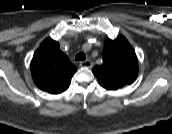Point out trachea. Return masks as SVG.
<instances>
[{
    "mask_svg": "<svg viewBox=\"0 0 172 134\" xmlns=\"http://www.w3.org/2000/svg\"><path fill=\"white\" fill-rule=\"evenodd\" d=\"M86 58V55L83 53V52H80L78 53L76 56H75V60H82L84 61Z\"/></svg>",
    "mask_w": 172,
    "mask_h": 134,
    "instance_id": "3493384b",
    "label": "trachea"
}]
</instances>
